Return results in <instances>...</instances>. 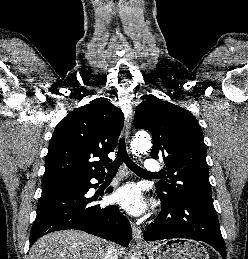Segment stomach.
<instances>
[{
  "label": "stomach",
  "mask_w": 248,
  "mask_h": 259,
  "mask_svg": "<svg viewBox=\"0 0 248 259\" xmlns=\"http://www.w3.org/2000/svg\"><path fill=\"white\" fill-rule=\"evenodd\" d=\"M146 252L149 259H209L205 247L189 239H169L146 247Z\"/></svg>",
  "instance_id": "1"
}]
</instances>
